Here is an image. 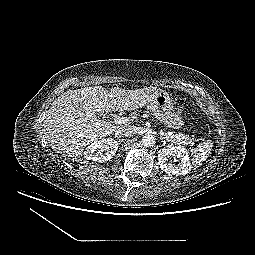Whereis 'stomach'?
<instances>
[{
	"instance_id": "1",
	"label": "stomach",
	"mask_w": 255,
	"mask_h": 255,
	"mask_svg": "<svg viewBox=\"0 0 255 255\" xmlns=\"http://www.w3.org/2000/svg\"><path fill=\"white\" fill-rule=\"evenodd\" d=\"M149 108L155 117L166 127L179 129L184 125V119L174 107L173 101L165 90L158 89L149 102Z\"/></svg>"
}]
</instances>
